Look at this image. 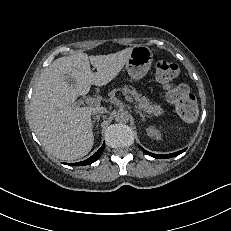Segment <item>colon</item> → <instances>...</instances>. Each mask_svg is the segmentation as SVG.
Returning a JSON list of instances; mask_svg holds the SVG:
<instances>
[{
	"label": "colon",
	"instance_id": "colon-1",
	"mask_svg": "<svg viewBox=\"0 0 231 231\" xmlns=\"http://www.w3.org/2000/svg\"><path fill=\"white\" fill-rule=\"evenodd\" d=\"M157 80L164 86L167 99L174 104L177 113L186 121H193L198 115L197 101L189 87L176 81L179 75L177 64L165 60L155 64Z\"/></svg>",
	"mask_w": 231,
	"mask_h": 231
}]
</instances>
